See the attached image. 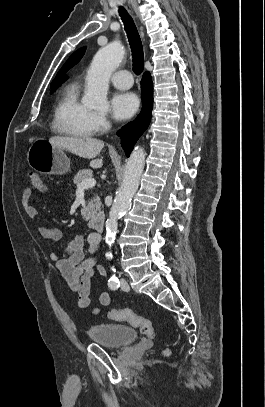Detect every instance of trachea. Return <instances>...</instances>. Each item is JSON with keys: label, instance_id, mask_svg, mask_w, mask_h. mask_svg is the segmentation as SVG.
Masks as SVG:
<instances>
[{"label": "trachea", "instance_id": "trachea-1", "mask_svg": "<svg viewBox=\"0 0 265 407\" xmlns=\"http://www.w3.org/2000/svg\"><path fill=\"white\" fill-rule=\"evenodd\" d=\"M119 14L124 23L125 31L127 33L132 51L133 71L136 75H140L144 69V54L138 30L134 24L132 17L123 7L119 8Z\"/></svg>", "mask_w": 265, "mask_h": 407}]
</instances>
